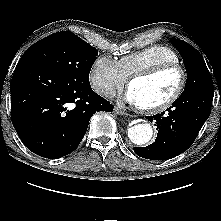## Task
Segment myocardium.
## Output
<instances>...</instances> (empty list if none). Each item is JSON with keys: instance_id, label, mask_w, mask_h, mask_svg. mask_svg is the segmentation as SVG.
Masks as SVG:
<instances>
[{"instance_id": "f54148a6", "label": "myocardium", "mask_w": 221, "mask_h": 221, "mask_svg": "<svg viewBox=\"0 0 221 221\" xmlns=\"http://www.w3.org/2000/svg\"><path fill=\"white\" fill-rule=\"evenodd\" d=\"M170 70H177L180 73V83H179L176 91L164 102L159 103L157 105H153V106L137 105V108L141 112L150 113V114H157V113L164 112V111L168 110L169 108H171L178 101V99L182 96V94L185 90V87L187 84L186 70L179 63H163V64L149 67L144 70H140V71L132 74L129 77L128 86L130 87V85L138 79L150 78V77L158 75L162 72H166V71H170Z\"/></svg>"}]
</instances>
